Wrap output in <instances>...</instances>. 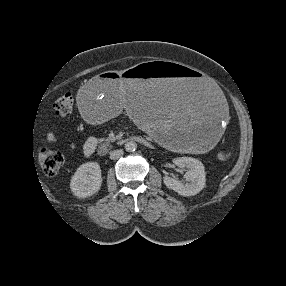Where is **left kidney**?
<instances>
[{
  "label": "left kidney",
  "mask_w": 286,
  "mask_h": 286,
  "mask_svg": "<svg viewBox=\"0 0 286 286\" xmlns=\"http://www.w3.org/2000/svg\"><path fill=\"white\" fill-rule=\"evenodd\" d=\"M179 168H187L185 173V184L169 176L163 177V182L167 188L174 190L182 196H193L199 193L205 186L206 173L202 162L192 157H179L173 160Z\"/></svg>",
  "instance_id": "obj_1"
}]
</instances>
